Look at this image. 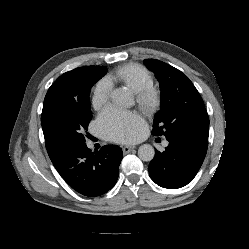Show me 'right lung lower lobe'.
Wrapping results in <instances>:
<instances>
[{"label": "right lung lower lobe", "instance_id": "right-lung-lower-lobe-1", "mask_svg": "<svg viewBox=\"0 0 249 249\" xmlns=\"http://www.w3.org/2000/svg\"><path fill=\"white\" fill-rule=\"evenodd\" d=\"M49 157L62 178L74 190L95 197L115 185L123 153L115 145H105L94 153L84 143L56 148Z\"/></svg>", "mask_w": 249, "mask_h": 249}]
</instances>
